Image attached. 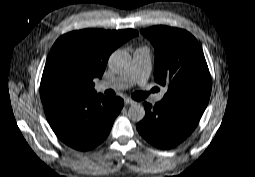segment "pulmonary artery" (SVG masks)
<instances>
[{"mask_svg": "<svg viewBox=\"0 0 255 177\" xmlns=\"http://www.w3.org/2000/svg\"><path fill=\"white\" fill-rule=\"evenodd\" d=\"M151 73V59L149 50L146 48H138L133 53V63L131 67L122 75L102 81L98 85L99 90L126 89L133 85H144L149 79ZM164 91L156 96V100H162Z\"/></svg>", "mask_w": 255, "mask_h": 177, "instance_id": "pulmonary-artery-1", "label": "pulmonary artery"}]
</instances>
